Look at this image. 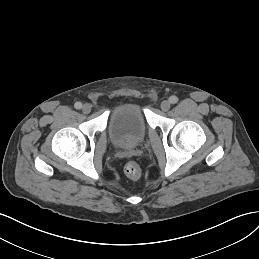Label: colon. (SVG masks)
I'll return each mask as SVG.
<instances>
[{"instance_id": "colon-1", "label": "colon", "mask_w": 259, "mask_h": 259, "mask_svg": "<svg viewBox=\"0 0 259 259\" xmlns=\"http://www.w3.org/2000/svg\"><path fill=\"white\" fill-rule=\"evenodd\" d=\"M124 172L132 180H138L141 177V168L134 161H130L125 165Z\"/></svg>"}]
</instances>
